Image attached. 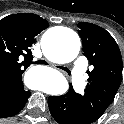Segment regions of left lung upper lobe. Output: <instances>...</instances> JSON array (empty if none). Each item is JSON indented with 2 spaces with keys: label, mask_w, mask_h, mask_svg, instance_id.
I'll use <instances>...</instances> for the list:
<instances>
[{
  "label": "left lung upper lobe",
  "mask_w": 124,
  "mask_h": 124,
  "mask_svg": "<svg viewBox=\"0 0 124 124\" xmlns=\"http://www.w3.org/2000/svg\"><path fill=\"white\" fill-rule=\"evenodd\" d=\"M84 55L92 65L83 95L75 92L80 113L87 124L95 122L113 102L122 80V57L114 38L103 28L78 24Z\"/></svg>",
  "instance_id": "5c2ea615"
}]
</instances>
